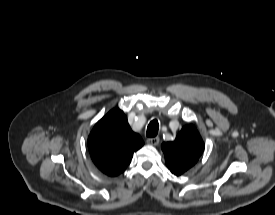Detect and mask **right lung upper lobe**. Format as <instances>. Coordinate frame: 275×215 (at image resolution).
Listing matches in <instances>:
<instances>
[{
  "label": "right lung upper lobe",
  "mask_w": 275,
  "mask_h": 215,
  "mask_svg": "<svg viewBox=\"0 0 275 215\" xmlns=\"http://www.w3.org/2000/svg\"><path fill=\"white\" fill-rule=\"evenodd\" d=\"M144 142L134 133L123 111L113 109L100 119L88 138V148L95 165L108 176L122 173L133 153Z\"/></svg>",
  "instance_id": "cb5924a9"
}]
</instances>
